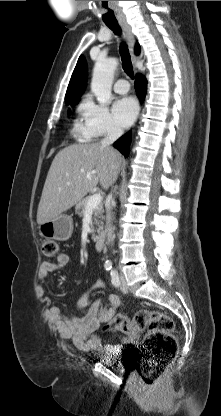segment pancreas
<instances>
[{
  "label": "pancreas",
  "mask_w": 221,
  "mask_h": 416,
  "mask_svg": "<svg viewBox=\"0 0 221 416\" xmlns=\"http://www.w3.org/2000/svg\"><path fill=\"white\" fill-rule=\"evenodd\" d=\"M90 197H86L83 200L79 201L75 207V213L77 215H79L80 217H83V215L86 212V204L88 202ZM104 213V209H103V204L100 203L95 209L92 210V215H93V224L99 226V228L97 229V232H100L101 230V225L103 224L102 220L104 219L103 216ZM92 232L95 233L96 230L94 228V226H92ZM94 236V234H93Z\"/></svg>",
  "instance_id": "cf45deb5"
}]
</instances>
